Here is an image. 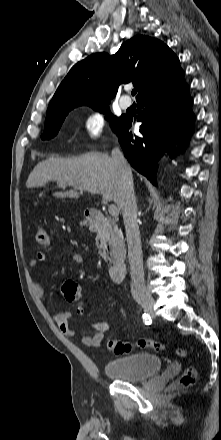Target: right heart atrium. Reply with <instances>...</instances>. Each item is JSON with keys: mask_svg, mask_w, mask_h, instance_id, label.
Masks as SVG:
<instances>
[{"mask_svg": "<svg viewBox=\"0 0 221 440\" xmlns=\"http://www.w3.org/2000/svg\"><path fill=\"white\" fill-rule=\"evenodd\" d=\"M106 127V118L100 110L94 109L87 112L81 121L84 141L86 143L97 141L104 135Z\"/></svg>", "mask_w": 221, "mask_h": 440, "instance_id": "right-heart-atrium-1", "label": "right heart atrium"}]
</instances>
